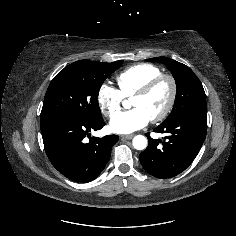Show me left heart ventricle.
Returning <instances> with one entry per match:
<instances>
[{"label":"left heart ventricle","instance_id":"b2bd125f","mask_svg":"<svg viewBox=\"0 0 236 236\" xmlns=\"http://www.w3.org/2000/svg\"><path fill=\"white\" fill-rule=\"evenodd\" d=\"M169 93V84L162 82L148 96L132 98L131 107L141 108L151 119L163 111L168 101Z\"/></svg>","mask_w":236,"mask_h":236}]
</instances>
